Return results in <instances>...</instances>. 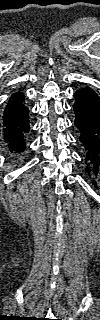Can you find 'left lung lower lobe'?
Here are the masks:
<instances>
[{
    "mask_svg": "<svg viewBox=\"0 0 100 320\" xmlns=\"http://www.w3.org/2000/svg\"><path fill=\"white\" fill-rule=\"evenodd\" d=\"M75 125L85 150L86 169L97 175L100 169V98L90 88H80L74 93Z\"/></svg>",
    "mask_w": 100,
    "mask_h": 320,
    "instance_id": "0a47b994",
    "label": "left lung lower lobe"
}]
</instances>
